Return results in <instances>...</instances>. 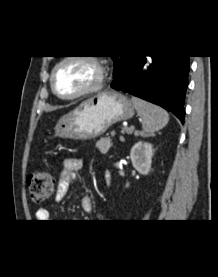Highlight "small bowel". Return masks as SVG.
<instances>
[{
    "label": "small bowel",
    "mask_w": 218,
    "mask_h": 277,
    "mask_svg": "<svg viewBox=\"0 0 218 277\" xmlns=\"http://www.w3.org/2000/svg\"><path fill=\"white\" fill-rule=\"evenodd\" d=\"M83 167V160L77 157H68L63 161L62 171L59 175L55 201H61L68 193L70 184L76 172ZM81 206L83 210L90 211L92 208V199L88 193H84L81 197ZM36 219L38 222H47L50 218V211L47 208H39L36 211Z\"/></svg>",
    "instance_id": "c3829d8e"
}]
</instances>
